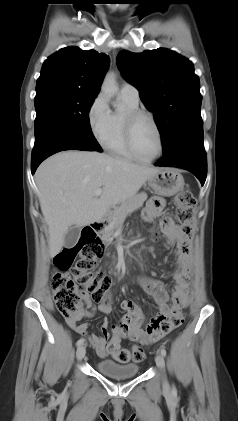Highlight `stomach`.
I'll return each instance as SVG.
<instances>
[{"label": "stomach", "mask_w": 238, "mask_h": 421, "mask_svg": "<svg viewBox=\"0 0 238 421\" xmlns=\"http://www.w3.org/2000/svg\"><path fill=\"white\" fill-rule=\"evenodd\" d=\"M147 182L155 193L162 196H173L180 192L185 185L183 176L173 168H161Z\"/></svg>", "instance_id": "stomach-1"}]
</instances>
